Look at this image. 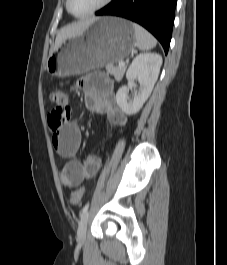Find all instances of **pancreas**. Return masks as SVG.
<instances>
[{
  "mask_svg": "<svg viewBox=\"0 0 227 265\" xmlns=\"http://www.w3.org/2000/svg\"><path fill=\"white\" fill-rule=\"evenodd\" d=\"M106 70L108 71V73L113 75L117 80H121L126 71V66L116 67L113 65H107Z\"/></svg>",
  "mask_w": 227,
  "mask_h": 265,
  "instance_id": "cf45deb5",
  "label": "pancreas"
}]
</instances>
